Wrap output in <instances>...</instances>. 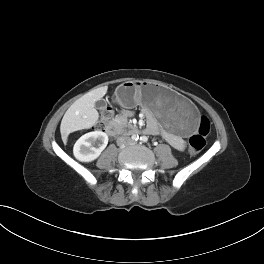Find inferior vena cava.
I'll return each instance as SVG.
<instances>
[{
    "instance_id": "inferior-vena-cava-1",
    "label": "inferior vena cava",
    "mask_w": 264,
    "mask_h": 264,
    "mask_svg": "<svg viewBox=\"0 0 264 264\" xmlns=\"http://www.w3.org/2000/svg\"><path fill=\"white\" fill-rule=\"evenodd\" d=\"M130 140L131 139L129 137H123L122 136V137H119L118 138L117 142H118V145L121 146L124 142H130Z\"/></svg>"
}]
</instances>
